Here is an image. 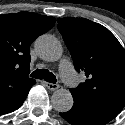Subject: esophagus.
I'll return each mask as SVG.
<instances>
[{
	"instance_id": "34e87169",
	"label": "esophagus",
	"mask_w": 125,
	"mask_h": 125,
	"mask_svg": "<svg viewBox=\"0 0 125 125\" xmlns=\"http://www.w3.org/2000/svg\"><path fill=\"white\" fill-rule=\"evenodd\" d=\"M44 84L51 91L57 90L59 88L58 84H53V83H49V82H44Z\"/></svg>"
}]
</instances>
